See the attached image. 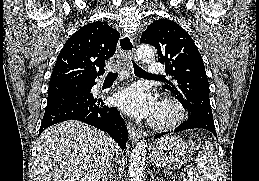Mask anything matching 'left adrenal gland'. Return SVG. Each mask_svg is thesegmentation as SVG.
I'll use <instances>...</instances> for the list:
<instances>
[{"mask_svg": "<svg viewBox=\"0 0 259 181\" xmlns=\"http://www.w3.org/2000/svg\"><path fill=\"white\" fill-rule=\"evenodd\" d=\"M151 180L150 181H159V178L155 176L154 173H151Z\"/></svg>", "mask_w": 259, "mask_h": 181, "instance_id": "1", "label": "left adrenal gland"}]
</instances>
